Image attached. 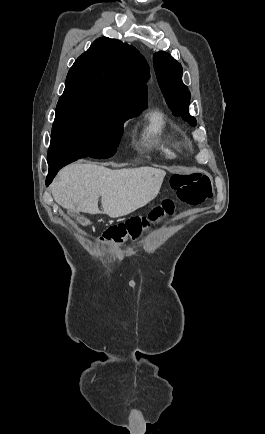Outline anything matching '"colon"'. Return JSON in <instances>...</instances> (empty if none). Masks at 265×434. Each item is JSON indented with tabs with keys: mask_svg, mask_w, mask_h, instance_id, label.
Listing matches in <instances>:
<instances>
[{
	"mask_svg": "<svg viewBox=\"0 0 265 434\" xmlns=\"http://www.w3.org/2000/svg\"><path fill=\"white\" fill-rule=\"evenodd\" d=\"M199 168L188 172L173 171L172 189L182 194L183 202H210V183L208 172H198ZM178 210V206L170 199H164L155 205L144 216L109 227L100 238V243L119 246L126 240H138L154 222L164 216H170Z\"/></svg>",
	"mask_w": 265,
	"mask_h": 434,
	"instance_id": "obj_1",
	"label": "colon"
}]
</instances>
